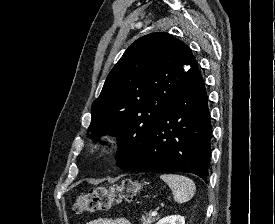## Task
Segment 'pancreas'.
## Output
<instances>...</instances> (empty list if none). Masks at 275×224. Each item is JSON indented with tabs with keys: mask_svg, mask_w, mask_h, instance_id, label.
Listing matches in <instances>:
<instances>
[{
	"mask_svg": "<svg viewBox=\"0 0 275 224\" xmlns=\"http://www.w3.org/2000/svg\"><path fill=\"white\" fill-rule=\"evenodd\" d=\"M158 219H159V217H151L148 215H144V216H142L141 221H142V224H152Z\"/></svg>",
	"mask_w": 275,
	"mask_h": 224,
	"instance_id": "pancreas-1",
	"label": "pancreas"
}]
</instances>
